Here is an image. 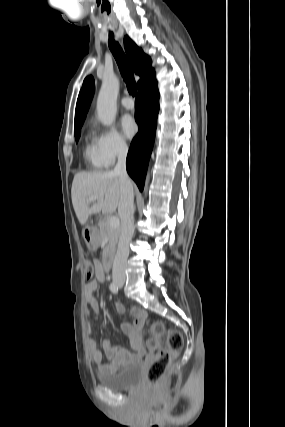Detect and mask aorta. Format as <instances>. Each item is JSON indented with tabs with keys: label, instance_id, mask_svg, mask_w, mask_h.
I'll return each instance as SVG.
<instances>
[{
	"label": "aorta",
	"instance_id": "aorta-1",
	"mask_svg": "<svg viewBox=\"0 0 285 427\" xmlns=\"http://www.w3.org/2000/svg\"><path fill=\"white\" fill-rule=\"evenodd\" d=\"M119 79L115 76L103 78L101 89L97 98V114L102 124L110 126L117 112V96L119 92Z\"/></svg>",
	"mask_w": 285,
	"mask_h": 427
}]
</instances>
